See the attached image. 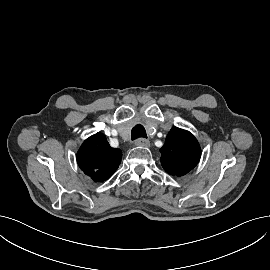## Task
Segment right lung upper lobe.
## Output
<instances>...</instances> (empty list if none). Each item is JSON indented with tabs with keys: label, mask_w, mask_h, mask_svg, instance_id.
I'll list each match as a JSON object with an SVG mask.
<instances>
[{
	"label": "right lung upper lobe",
	"mask_w": 270,
	"mask_h": 270,
	"mask_svg": "<svg viewBox=\"0 0 270 270\" xmlns=\"http://www.w3.org/2000/svg\"><path fill=\"white\" fill-rule=\"evenodd\" d=\"M121 157V150L112 148L106 137L99 132L81 145L77 153V163L95 182H103L116 171Z\"/></svg>",
	"instance_id": "obj_1"
}]
</instances>
